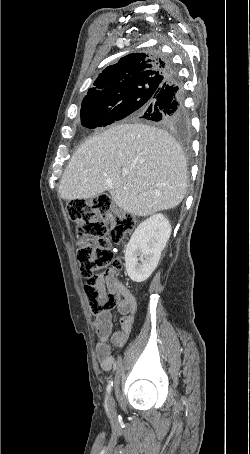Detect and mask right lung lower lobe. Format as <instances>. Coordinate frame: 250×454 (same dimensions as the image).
<instances>
[{
  "label": "right lung lower lobe",
  "mask_w": 250,
  "mask_h": 454,
  "mask_svg": "<svg viewBox=\"0 0 250 454\" xmlns=\"http://www.w3.org/2000/svg\"><path fill=\"white\" fill-rule=\"evenodd\" d=\"M166 62L171 70L166 82L160 87L155 100L138 117L174 130H182L189 123L184 106V90L177 71L169 61Z\"/></svg>",
  "instance_id": "1"
}]
</instances>
